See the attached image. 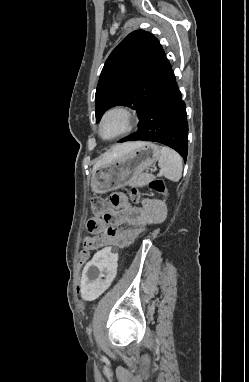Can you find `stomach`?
<instances>
[{
    "label": "stomach",
    "mask_w": 249,
    "mask_h": 382,
    "mask_svg": "<svg viewBox=\"0 0 249 382\" xmlns=\"http://www.w3.org/2000/svg\"><path fill=\"white\" fill-rule=\"evenodd\" d=\"M160 155L158 145L142 142L141 145L115 158L110 164L96 169L91 178L94 193H105L122 188L131 179L139 177L155 163Z\"/></svg>",
    "instance_id": "stomach-1"
}]
</instances>
